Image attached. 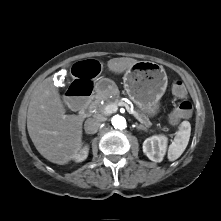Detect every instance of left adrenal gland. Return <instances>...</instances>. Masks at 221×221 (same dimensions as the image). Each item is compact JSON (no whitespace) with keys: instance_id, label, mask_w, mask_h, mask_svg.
<instances>
[{"instance_id":"1","label":"left adrenal gland","mask_w":221,"mask_h":221,"mask_svg":"<svg viewBox=\"0 0 221 221\" xmlns=\"http://www.w3.org/2000/svg\"><path fill=\"white\" fill-rule=\"evenodd\" d=\"M137 129L138 130H146V128L144 126H142V125L137 126Z\"/></svg>"}]
</instances>
